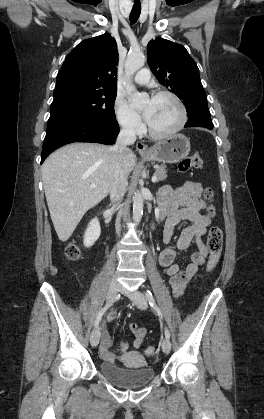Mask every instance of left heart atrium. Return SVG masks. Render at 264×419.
<instances>
[{"label": "left heart atrium", "mask_w": 264, "mask_h": 419, "mask_svg": "<svg viewBox=\"0 0 264 419\" xmlns=\"http://www.w3.org/2000/svg\"><path fill=\"white\" fill-rule=\"evenodd\" d=\"M144 117H145L147 122L150 121V119H151V109H150V107L145 110Z\"/></svg>", "instance_id": "obj_1"}]
</instances>
